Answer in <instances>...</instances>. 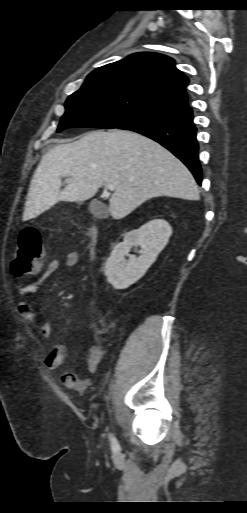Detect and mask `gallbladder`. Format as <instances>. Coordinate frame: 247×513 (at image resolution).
Listing matches in <instances>:
<instances>
[{
  "mask_svg": "<svg viewBox=\"0 0 247 513\" xmlns=\"http://www.w3.org/2000/svg\"><path fill=\"white\" fill-rule=\"evenodd\" d=\"M89 210L97 218H105L109 214L108 207L98 200L90 203Z\"/></svg>",
  "mask_w": 247,
  "mask_h": 513,
  "instance_id": "1",
  "label": "gallbladder"
}]
</instances>
